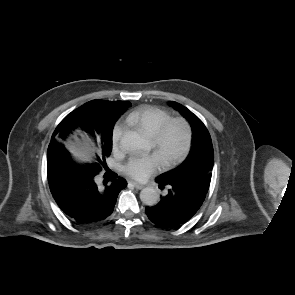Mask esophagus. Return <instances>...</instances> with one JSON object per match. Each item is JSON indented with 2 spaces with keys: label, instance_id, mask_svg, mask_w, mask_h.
<instances>
[{
  "label": "esophagus",
  "instance_id": "1",
  "mask_svg": "<svg viewBox=\"0 0 295 295\" xmlns=\"http://www.w3.org/2000/svg\"><path fill=\"white\" fill-rule=\"evenodd\" d=\"M130 183H131L136 189H142V188H144V185L139 184V183H137V182H135V181H130Z\"/></svg>",
  "mask_w": 295,
  "mask_h": 295
}]
</instances>
